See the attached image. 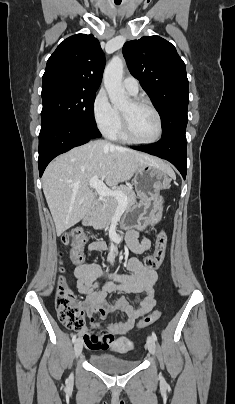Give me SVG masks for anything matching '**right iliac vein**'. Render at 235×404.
<instances>
[{"instance_id":"right-iliac-vein-1","label":"right iliac vein","mask_w":235,"mask_h":404,"mask_svg":"<svg viewBox=\"0 0 235 404\" xmlns=\"http://www.w3.org/2000/svg\"><path fill=\"white\" fill-rule=\"evenodd\" d=\"M82 349H83V342L79 338L76 340L75 345H74V351H75L76 357H78L82 353Z\"/></svg>"}]
</instances>
